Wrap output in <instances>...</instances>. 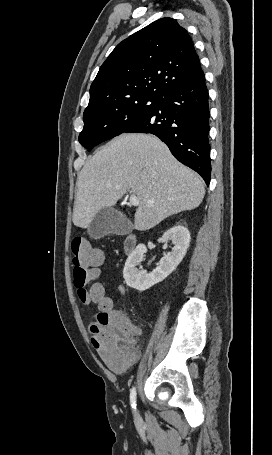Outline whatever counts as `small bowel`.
Here are the masks:
<instances>
[{
  "label": "small bowel",
  "mask_w": 272,
  "mask_h": 455,
  "mask_svg": "<svg viewBox=\"0 0 272 455\" xmlns=\"http://www.w3.org/2000/svg\"><path fill=\"white\" fill-rule=\"evenodd\" d=\"M119 290H120L121 292H124V289H123L122 287H120ZM111 312H112L113 314H115V315H118V316H122V317H123V315H122V313H121L120 310H113V311H111Z\"/></svg>",
  "instance_id": "1"
}]
</instances>
